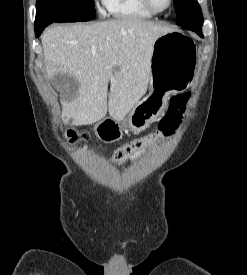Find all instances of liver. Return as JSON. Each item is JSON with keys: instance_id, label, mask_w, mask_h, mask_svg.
Listing matches in <instances>:
<instances>
[{"instance_id": "obj_1", "label": "liver", "mask_w": 247, "mask_h": 275, "mask_svg": "<svg viewBox=\"0 0 247 275\" xmlns=\"http://www.w3.org/2000/svg\"><path fill=\"white\" fill-rule=\"evenodd\" d=\"M170 31L138 18L49 28L42 36L47 77L69 74L79 85L62 94L63 122L90 125L107 111L123 120L147 91L154 42Z\"/></svg>"}]
</instances>
